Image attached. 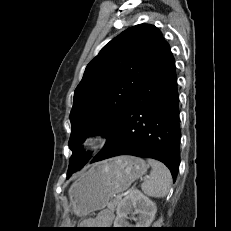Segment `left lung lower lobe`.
I'll use <instances>...</instances> for the list:
<instances>
[{"instance_id": "left-lung-lower-lobe-1", "label": "left lung lower lobe", "mask_w": 231, "mask_h": 231, "mask_svg": "<svg viewBox=\"0 0 231 231\" xmlns=\"http://www.w3.org/2000/svg\"><path fill=\"white\" fill-rule=\"evenodd\" d=\"M178 104L175 61L165 42L91 163L118 155L153 158L169 168L175 181L180 163Z\"/></svg>"}]
</instances>
